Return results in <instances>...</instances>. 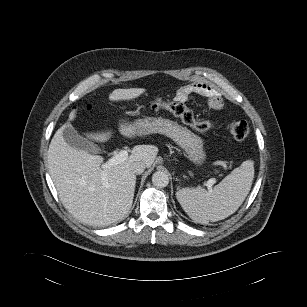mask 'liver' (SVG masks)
<instances>
[{
    "label": "liver",
    "instance_id": "6515ba94",
    "mask_svg": "<svg viewBox=\"0 0 307 307\" xmlns=\"http://www.w3.org/2000/svg\"><path fill=\"white\" fill-rule=\"evenodd\" d=\"M146 92L143 88L115 89L110 101H128ZM76 110L69 115L72 121ZM63 125L54 134L48 149V169L59 199L64 207L80 222L90 226H108L122 220L131 209L136 175L131 170L134 162L141 161L151 167L158 148L153 145H137L123 162L108 169L103 168V158L84 150H78L63 138ZM121 135L133 138L136 128L129 122L119 123ZM89 139L106 142L112 132L86 133ZM104 172L107 173L104 179Z\"/></svg>",
    "mask_w": 307,
    "mask_h": 307
}]
</instances>
